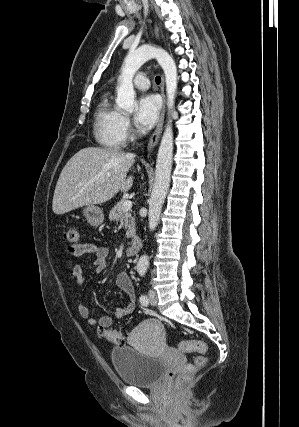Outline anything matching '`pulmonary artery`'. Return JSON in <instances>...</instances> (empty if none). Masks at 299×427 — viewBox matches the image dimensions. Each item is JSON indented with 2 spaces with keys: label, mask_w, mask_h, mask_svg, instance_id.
<instances>
[{
  "label": "pulmonary artery",
  "mask_w": 299,
  "mask_h": 427,
  "mask_svg": "<svg viewBox=\"0 0 299 427\" xmlns=\"http://www.w3.org/2000/svg\"><path fill=\"white\" fill-rule=\"evenodd\" d=\"M134 85L136 88L145 90L149 87V78L145 73L138 74L134 79Z\"/></svg>",
  "instance_id": "e3ab8cb5"
}]
</instances>
